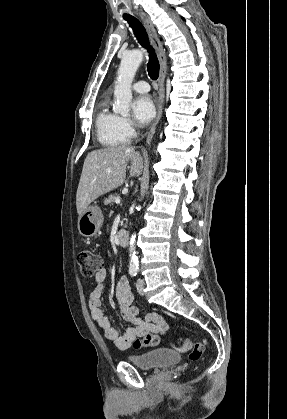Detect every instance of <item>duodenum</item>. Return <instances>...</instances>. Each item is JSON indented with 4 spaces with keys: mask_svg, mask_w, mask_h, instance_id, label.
<instances>
[{
    "mask_svg": "<svg viewBox=\"0 0 287 419\" xmlns=\"http://www.w3.org/2000/svg\"><path fill=\"white\" fill-rule=\"evenodd\" d=\"M116 243L120 246V247H126L129 243V234L127 231L124 230H120L118 231V233L116 234Z\"/></svg>",
    "mask_w": 287,
    "mask_h": 419,
    "instance_id": "410a0bca",
    "label": "duodenum"
}]
</instances>
